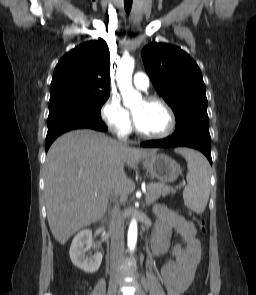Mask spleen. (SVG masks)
<instances>
[{
  "label": "spleen",
  "instance_id": "1",
  "mask_svg": "<svg viewBox=\"0 0 256 295\" xmlns=\"http://www.w3.org/2000/svg\"><path fill=\"white\" fill-rule=\"evenodd\" d=\"M187 161V186L183 191L184 204L193 212H204L210 194V165L198 151L189 148L177 150Z\"/></svg>",
  "mask_w": 256,
  "mask_h": 295
}]
</instances>
